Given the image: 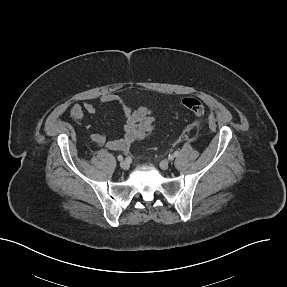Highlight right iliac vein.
I'll use <instances>...</instances> for the list:
<instances>
[{
	"mask_svg": "<svg viewBox=\"0 0 287 287\" xmlns=\"http://www.w3.org/2000/svg\"><path fill=\"white\" fill-rule=\"evenodd\" d=\"M120 167H121V169H123V170H128L129 169V167H130V164H129V162L127 161V160H124V161H122L121 163H120Z\"/></svg>",
	"mask_w": 287,
	"mask_h": 287,
	"instance_id": "right-iliac-vein-1",
	"label": "right iliac vein"
}]
</instances>
